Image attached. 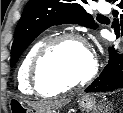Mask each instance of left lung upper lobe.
<instances>
[{
  "label": "left lung upper lobe",
  "mask_w": 123,
  "mask_h": 113,
  "mask_svg": "<svg viewBox=\"0 0 123 113\" xmlns=\"http://www.w3.org/2000/svg\"><path fill=\"white\" fill-rule=\"evenodd\" d=\"M84 4H87L86 0H30L16 27L11 66L16 64L22 52L39 34L53 25L78 23L97 28L92 16L85 11Z\"/></svg>",
  "instance_id": "obj_1"
}]
</instances>
